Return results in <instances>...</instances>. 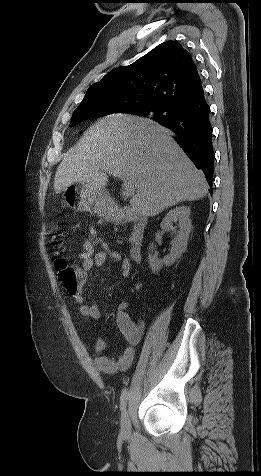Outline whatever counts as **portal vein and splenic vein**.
Returning a JSON list of instances; mask_svg holds the SVG:
<instances>
[{"mask_svg":"<svg viewBox=\"0 0 261 476\" xmlns=\"http://www.w3.org/2000/svg\"><path fill=\"white\" fill-rule=\"evenodd\" d=\"M114 177H118L123 181V196L125 198L131 197L134 194V185L133 182L119 172H110Z\"/></svg>","mask_w":261,"mask_h":476,"instance_id":"1","label":"portal vein and splenic vein"}]
</instances>
